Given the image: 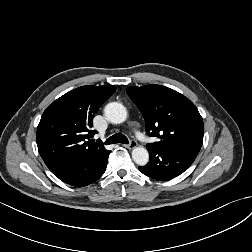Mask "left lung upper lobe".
I'll return each mask as SVG.
<instances>
[{
  "mask_svg": "<svg viewBox=\"0 0 252 252\" xmlns=\"http://www.w3.org/2000/svg\"><path fill=\"white\" fill-rule=\"evenodd\" d=\"M126 91L144 117L147 134L159 138L147 144V149L199 153L203 120L188 98L161 85L128 87Z\"/></svg>",
  "mask_w": 252,
  "mask_h": 252,
  "instance_id": "1",
  "label": "left lung upper lobe"
}]
</instances>
